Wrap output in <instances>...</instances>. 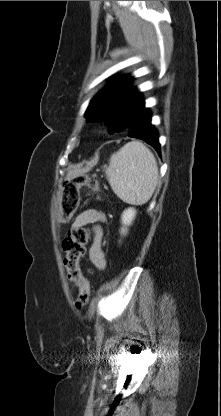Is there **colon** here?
<instances>
[{
    "label": "colon",
    "mask_w": 221,
    "mask_h": 416,
    "mask_svg": "<svg viewBox=\"0 0 221 416\" xmlns=\"http://www.w3.org/2000/svg\"><path fill=\"white\" fill-rule=\"evenodd\" d=\"M87 185L94 192L98 191L94 179L85 175H77L66 181L62 188L60 200L59 218L62 223L69 222L75 214L79 204V188ZM90 238V232L85 227L72 228L63 240L62 247L65 252L64 265L68 277L78 287L76 307L83 308L90 298V285L81 268V259L86 253V245Z\"/></svg>",
    "instance_id": "obj_1"
}]
</instances>
